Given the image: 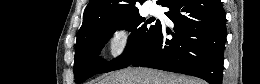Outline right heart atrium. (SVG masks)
Here are the masks:
<instances>
[{"label":"right heart atrium","instance_id":"obj_1","mask_svg":"<svg viewBox=\"0 0 260 84\" xmlns=\"http://www.w3.org/2000/svg\"><path fill=\"white\" fill-rule=\"evenodd\" d=\"M135 31L131 24L121 21L114 24L109 30V52L114 59L125 57L134 40Z\"/></svg>","mask_w":260,"mask_h":84}]
</instances>
